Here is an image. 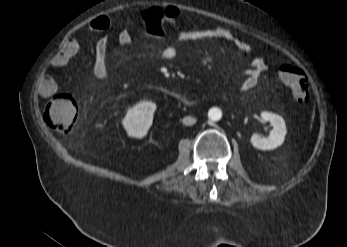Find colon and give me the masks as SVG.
<instances>
[{"label":"colon","instance_id":"5ec220e1","mask_svg":"<svg viewBox=\"0 0 347 247\" xmlns=\"http://www.w3.org/2000/svg\"><path fill=\"white\" fill-rule=\"evenodd\" d=\"M145 30L154 36H163L167 25L176 22L178 10L173 7L161 9L149 8L140 15ZM280 81L290 90L293 98L305 103L310 96V86L304 71L297 66L282 64L278 69ZM78 106L69 94H53L44 107V121L59 133L68 134L74 131L77 123Z\"/></svg>","mask_w":347,"mask_h":247}]
</instances>
